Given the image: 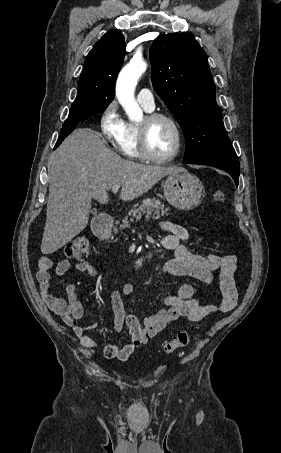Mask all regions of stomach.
<instances>
[{
    "label": "stomach",
    "mask_w": 281,
    "mask_h": 453,
    "mask_svg": "<svg viewBox=\"0 0 281 453\" xmlns=\"http://www.w3.org/2000/svg\"><path fill=\"white\" fill-rule=\"evenodd\" d=\"M164 194L169 204L179 210H190L200 204L205 192L198 176L191 172H173L164 182Z\"/></svg>",
    "instance_id": "1"
}]
</instances>
